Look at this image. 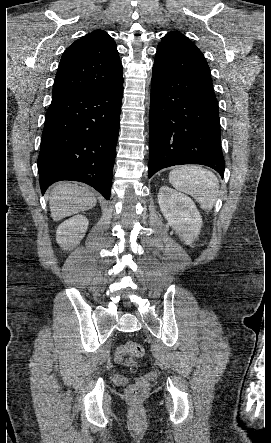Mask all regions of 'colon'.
I'll return each mask as SVG.
<instances>
[{"label": "colon", "instance_id": "1", "mask_svg": "<svg viewBox=\"0 0 271 443\" xmlns=\"http://www.w3.org/2000/svg\"><path fill=\"white\" fill-rule=\"evenodd\" d=\"M144 354V350L137 342L129 341L117 347L115 352V359L121 363L130 362L127 357L140 358ZM148 389V383L144 380L132 384L127 389V397L131 401L140 400Z\"/></svg>", "mask_w": 271, "mask_h": 443}]
</instances>
